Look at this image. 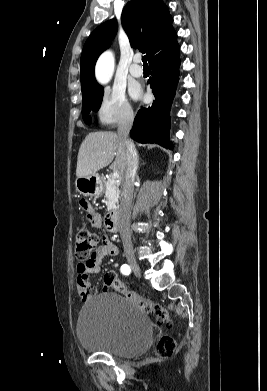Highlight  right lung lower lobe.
<instances>
[{
    "label": "right lung lower lobe",
    "mask_w": 267,
    "mask_h": 391,
    "mask_svg": "<svg viewBox=\"0 0 267 391\" xmlns=\"http://www.w3.org/2000/svg\"><path fill=\"white\" fill-rule=\"evenodd\" d=\"M179 50V44L176 43L149 61L151 77L148 83L155 100L150 107L138 111L130 132L131 138L140 143H158L173 149L169 142V111L179 79Z\"/></svg>",
    "instance_id": "98d812e1"
}]
</instances>
